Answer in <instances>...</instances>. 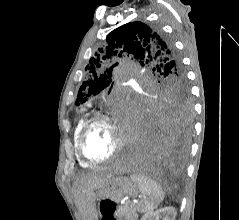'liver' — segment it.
Here are the masks:
<instances>
[{
    "mask_svg": "<svg viewBox=\"0 0 239 220\" xmlns=\"http://www.w3.org/2000/svg\"><path fill=\"white\" fill-rule=\"evenodd\" d=\"M112 175L88 174L80 177L74 184V198L76 206L83 213L84 218H91L94 215L95 190L106 185Z\"/></svg>",
    "mask_w": 239,
    "mask_h": 220,
    "instance_id": "6515ba94",
    "label": "liver"
}]
</instances>
